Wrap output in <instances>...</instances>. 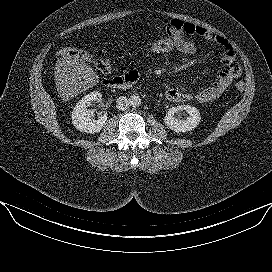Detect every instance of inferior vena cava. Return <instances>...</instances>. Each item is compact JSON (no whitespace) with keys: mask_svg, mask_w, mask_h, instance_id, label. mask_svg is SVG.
Listing matches in <instances>:
<instances>
[{"mask_svg":"<svg viewBox=\"0 0 272 272\" xmlns=\"http://www.w3.org/2000/svg\"><path fill=\"white\" fill-rule=\"evenodd\" d=\"M130 106V101L127 97L120 96L116 100V107L118 110L125 111L129 108Z\"/></svg>","mask_w":272,"mask_h":272,"instance_id":"1","label":"inferior vena cava"}]
</instances>
